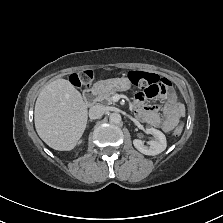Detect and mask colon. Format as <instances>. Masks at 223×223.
<instances>
[{
  "label": "colon",
  "instance_id": "colon-1",
  "mask_svg": "<svg viewBox=\"0 0 223 223\" xmlns=\"http://www.w3.org/2000/svg\"><path fill=\"white\" fill-rule=\"evenodd\" d=\"M129 78L134 85L144 87L145 89H150L153 94L163 91L166 86L165 80L154 73L132 71L129 74ZM92 80L93 73L90 70L73 73L70 76V82L77 87L89 86ZM182 130L183 125L182 123H179L173 128L172 133L174 135H179L181 134Z\"/></svg>",
  "mask_w": 223,
  "mask_h": 223
}]
</instances>
